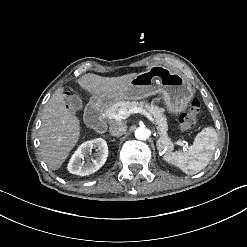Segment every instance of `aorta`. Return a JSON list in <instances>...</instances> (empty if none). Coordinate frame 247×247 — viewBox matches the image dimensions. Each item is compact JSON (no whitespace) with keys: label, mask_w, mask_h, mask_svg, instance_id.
<instances>
[{"label":"aorta","mask_w":247,"mask_h":247,"mask_svg":"<svg viewBox=\"0 0 247 247\" xmlns=\"http://www.w3.org/2000/svg\"><path fill=\"white\" fill-rule=\"evenodd\" d=\"M151 132L149 129L145 128V127H138L135 130V137L139 140H146L149 138Z\"/></svg>","instance_id":"obj_1"}]
</instances>
